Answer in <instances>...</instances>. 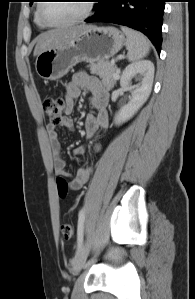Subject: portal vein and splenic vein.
<instances>
[{
    "mask_svg": "<svg viewBox=\"0 0 195 299\" xmlns=\"http://www.w3.org/2000/svg\"><path fill=\"white\" fill-rule=\"evenodd\" d=\"M114 77H115L116 79L119 78V72H118V71H116V73L114 74Z\"/></svg>",
    "mask_w": 195,
    "mask_h": 299,
    "instance_id": "1",
    "label": "portal vein and splenic vein"
}]
</instances>
